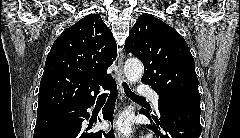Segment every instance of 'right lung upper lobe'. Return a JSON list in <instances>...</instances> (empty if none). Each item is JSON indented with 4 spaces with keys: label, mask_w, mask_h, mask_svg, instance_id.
<instances>
[{
    "label": "right lung upper lobe",
    "mask_w": 240,
    "mask_h": 138,
    "mask_svg": "<svg viewBox=\"0 0 240 138\" xmlns=\"http://www.w3.org/2000/svg\"><path fill=\"white\" fill-rule=\"evenodd\" d=\"M116 42L101 16L90 14L56 39L40 82L37 115L96 98L116 58Z\"/></svg>",
    "instance_id": "1"
}]
</instances>
